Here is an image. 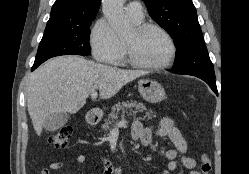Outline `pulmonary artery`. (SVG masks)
Masks as SVG:
<instances>
[{
    "instance_id": "1",
    "label": "pulmonary artery",
    "mask_w": 249,
    "mask_h": 174,
    "mask_svg": "<svg viewBox=\"0 0 249 174\" xmlns=\"http://www.w3.org/2000/svg\"><path fill=\"white\" fill-rule=\"evenodd\" d=\"M128 16L133 20H142L144 17L143 8L140 2L132 1L126 7Z\"/></svg>"
}]
</instances>
